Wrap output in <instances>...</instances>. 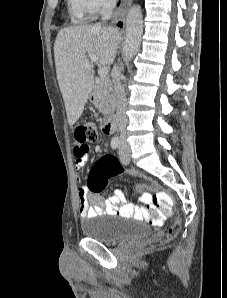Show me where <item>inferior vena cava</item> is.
<instances>
[{
	"instance_id": "inferior-vena-cava-1",
	"label": "inferior vena cava",
	"mask_w": 227,
	"mask_h": 298,
	"mask_svg": "<svg viewBox=\"0 0 227 298\" xmlns=\"http://www.w3.org/2000/svg\"><path fill=\"white\" fill-rule=\"evenodd\" d=\"M116 6L115 0H104L102 4V20L103 22L109 20L113 14V10ZM97 25L101 26V23H98ZM113 84H114V91L116 95V115L118 120V127L120 132V140H125V134H126V125H127V117H126V105H127V99H126V93L125 88L122 85L120 81V74L121 70L120 68L115 65L113 67Z\"/></svg>"
}]
</instances>
